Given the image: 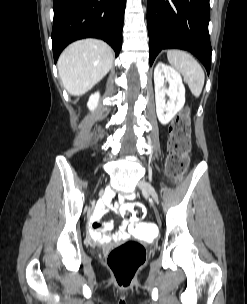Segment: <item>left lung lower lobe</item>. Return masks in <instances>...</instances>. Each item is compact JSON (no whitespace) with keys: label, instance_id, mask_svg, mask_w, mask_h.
Returning <instances> with one entry per match:
<instances>
[{"label":"left lung lower lobe","instance_id":"1","mask_svg":"<svg viewBox=\"0 0 247 304\" xmlns=\"http://www.w3.org/2000/svg\"><path fill=\"white\" fill-rule=\"evenodd\" d=\"M209 0H148L150 65L162 49L188 50L211 68Z\"/></svg>","mask_w":247,"mask_h":304}]
</instances>
